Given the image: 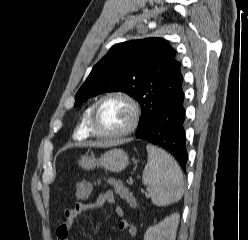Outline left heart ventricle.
<instances>
[{"mask_svg": "<svg viewBox=\"0 0 248 240\" xmlns=\"http://www.w3.org/2000/svg\"><path fill=\"white\" fill-rule=\"evenodd\" d=\"M131 119L127 104L118 99L104 101L98 108L96 127L102 133H114L124 129Z\"/></svg>", "mask_w": 248, "mask_h": 240, "instance_id": "left-heart-ventricle-1", "label": "left heart ventricle"}]
</instances>
